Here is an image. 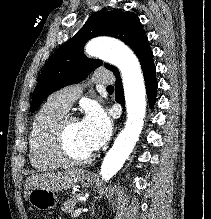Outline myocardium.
<instances>
[{"mask_svg": "<svg viewBox=\"0 0 211 219\" xmlns=\"http://www.w3.org/2000/svg\"><path fill=\"white\" fill-rule=\"evenodd\" d=\"M71 120L77 119L68 114H64L54 124L51 132L52 149L55 155L68 165H85L92 161L94 154L91 152L84 157H78L70 151L67 143V130Z\"/></svg>", "mask_w": 211, "mask_h": 219, "instance_id": "1", "label": "myocardium"}]
</instances>
